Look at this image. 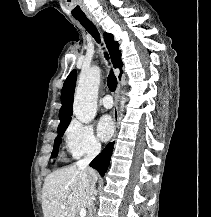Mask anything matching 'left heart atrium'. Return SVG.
I'll list each match as a JSON object with an SVG mask.
<instances>
[{"instance_id":"1","label":"left heart atrium","mask_w":211,"mask_h":217,"mask_svg":"<svg viewBox=\"0 0 211 217\" xmlns=\"http://www.w3.org/2000/svg\"><path fill=\"white\" fill-rule=\"evenodd\" d=\"M97 132L103 141L111 138L114 132V124L112 118L108 115L102 116L97 125Z\"/></svg>"}]
</instances>
